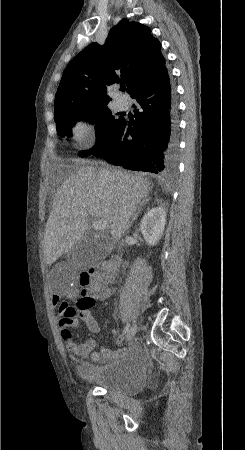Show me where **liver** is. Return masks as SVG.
<instances>
[{
  "mask_svg": "<svg viewBox=\"0 0 245 450\" xmlns=\"http://www.w3.org/2000/svg\"><path fill=\"white\" fill-rule=\"evenodd\" d=\"M103 170L83 166L71 172L55 193L43 240L48 265L85 239L89 216L106 219L115 240L129 230L151 183L126 171L107 170L106 175Z\"/></svg>",
  "mask_w": 245,
  "mask_h": 450,
  "instance_id": "1",
  "label": "liver"
}]
</instances>
